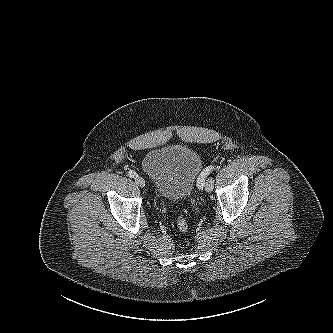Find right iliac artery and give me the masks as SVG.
Instances as JSON below:
<instances>
[{
  "label": "right iliac artery",
  "mask_w": 333,
  "mask_h": 333,
  "mask_svg": "<svg viewBox=\"0 0 333 333\" xmlns=\"http://www.w3.org/2000/svg\"><path fill=\"white\" fill-rule=\"evenodd\" d=\"M135 175H136V173H135V171H133V170H130V171L128 172V176H129L130 178H133Z\"/></svg>",
  "instance_id": "1"
}]
</instances>
